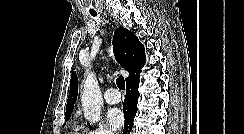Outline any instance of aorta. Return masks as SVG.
Returning <instances> with one entry per match:
<instances>
[{"mask_svg": "<svg viewBox=\"0 0 244 134\" xmlns=\"http://www.w3.org/2000/svg\"><path fill=\"white\" fill-rule=\"evenodd\" d=\"M81 102L85 119L88 120L90 124L97 123L100 120L103 100L97 79L93 72L87 71L85 75Z\"/></svg>", "mask_w": 244, "mask_h": 134, "instance_id": "1", "label": "aorta"}]
</instances>
